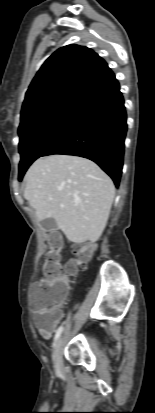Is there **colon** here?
I'll list each match as a JSON object with an SVG mask.
<instances>
[{
    "label": "colon",
    "mask_w": 155,
    "mask_h": 413,
    "mask_svg": "<svg viewBox=\"0 0 155 413\" xmlns=\"http://www.w3.org/2000/svg\"><path fill=\"white\" fill-rule=\"evenodd\" d=\"M47 244L49 251L45 255L42 266L44 290L37 294L33 309L39 313L54 311L63 300L70 288L69 279L62 274L60 264V250L62 239L56 233H51ZM94 251L91 243H84L76 248L77 258L67 263L65 270L67 274L74 275L79 268L86 267Z\"/></svg>",
    "instance_id": "1"
}]
</instances>
